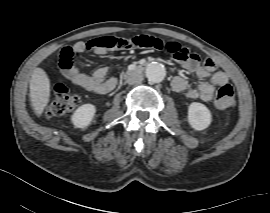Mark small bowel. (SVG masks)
<instances>
[{"label":"small bowel","instance_id":"c3829d8e","mask_svg":"<svg viewBox=\"0 0 270 213\" xmlns=\"http://www.w3.org/2000/svg\"><path fill=\"white\" fill-rule=\"evenodd\" d=\"M129 39L116 38L111 36H100L91 38L85 42H77L72 46H66L60 51V61L70 60L72 68L62 70L63 75L69 81L76 83L90 92L96 94H107L111 92L117 84V80L113 77L107 78V69L98 68L92 75H87L79 69L77 64L72 61V57L76 54H81L87 49H92L94 52L103 56L108 53H116L123 50H128L131 46L128 44ZM173 42H166V48L171 51ZM182 67L187 71L195 74L200 80L209 79L202 82L197 87L193 88L188 84V81L183 76H176L172 81V88L178 93H182L190 98H201L203 100H211L215 90L229 83L230 78L227 72L218 69L217 63L213 59L207 60L200 64L192 59L190 51L187 49L186 57L181 62Z\"/></svg>","mask_w":270,"mask_h":213}]
</instances>
